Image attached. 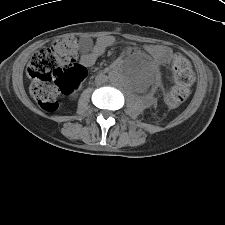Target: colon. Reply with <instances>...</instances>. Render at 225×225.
<instances>
[{
    "mask_svg": "<svg viewBox=\"0 0 225 225\" xmlns=\"http://www.w3.org/2000/svg\"><path fill=\"white\" fill-rule=\"evenodd\" d=\"M87 40L69 36L57 39L50 49H43L33 55L27 67V74L33 80L32 93L39 104L48 111H54L62 95L75 91L83 82L86 70L71 63L80 48L87 47ZM173 86L166 95L167 105L175 108L187 101L192 94L194 75L188 61L175 56L172 62ZM59 70L63 74L57 76Z\"/></svg>",
    "mask_w": 225,
    "mask_h": 225,
    "instance_id": "obj_1",
    "label": "colon"
}]
</instances>
